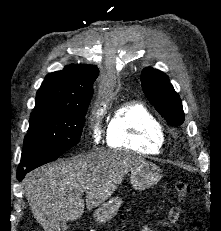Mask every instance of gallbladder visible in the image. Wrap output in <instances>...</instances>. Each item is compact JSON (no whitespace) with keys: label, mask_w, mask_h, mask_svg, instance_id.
Here are the masks:
<instances>
[{"label":"gallbladder","mask_w":221,"mask_h":231,"mask_svg":"<svg viewBox=\"0 0 221 231\" xmlns=\"http://www.w3.org/2000/svg\"><path fill=\"white\" fill-rule=\"evenodd\" d=\"M60 228H61L62 231H66L68 226H67L66 223H63V224H61Z\"/></svg>","instance_id":"gallbladder-1"}]
</instances>
